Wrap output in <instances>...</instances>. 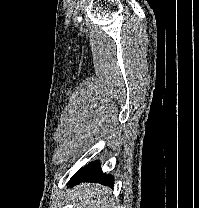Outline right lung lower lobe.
I'll return each instance as SVG.
<instances>
[{
	"mask_svg": "<svg viewBox=\"0 0 199 208\" xmlns=\"http://www.w3.org/2000/svg\"><path fill=\"white\" fill-rule=\"evenodd\" d=\"M81 182H99L112 187L114 179L111 175L104 174L100 168V163L95 161L78 171L69 181V185L74 186Z\"/></svg>",
	"mask_w": 199,
	"mask_h": 208,
	"instance_id": "1",
	"label": "right lung lower lobe"
}]
</instances>
